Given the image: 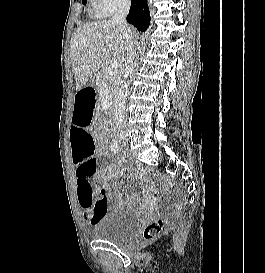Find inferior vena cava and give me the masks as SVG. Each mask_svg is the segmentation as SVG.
Listing matches in <instances>:
<instances>
[{"mask_svg":"<svg viewBox=\"0 0 265 273\" xmlns=\"http://www.w3.org/2000/svg\"><path fill=\"white\" fill-rule=\"evenodd\" d=\"M130 5H131V0H121L111 20L112 24L119 26L126 33L129 32L128 25L126 22V17L129 13ZM126 55H127V63L124 70V77L128 78L129 75H131V73L134 70V59L137 55L136 49L134 46L133 37H131L129 40ZM122 128H124V125H122Z\"/></svg>","mask_w":265,"mask_h":273,"instance_id":"obj_1","label":"inferior vena cava"}]
</instances>
